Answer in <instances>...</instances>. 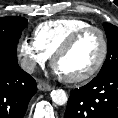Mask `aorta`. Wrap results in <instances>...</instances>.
<instances>
[{"instance_id":"aorta-1","label":"aorta","mask_w":118,"mask_h":118,"mask_svg":"<svg viewBox=\"0 0 118 118\" xmlns=\"http://www.w3.org/2000/svg\"><path fill=\"white\" fill-rule=\"evenodd\" d=\"M51 99L57 105H64L67 103L68 97L63 89H56L51 92Z\"/></svg>"}]
</instances>
